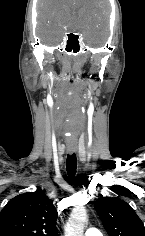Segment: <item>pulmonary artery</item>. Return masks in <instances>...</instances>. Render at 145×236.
I'll return each mask as SVG.
<instances>
[{"mask_svg":"<svg viewBox=\"0 0 145 236\" xmlns=\"http://www.w3.org/2000/svg\"><path fill=\"white\" fill-rule=\"evenodd\" d=\"M84 236H103L102 233L94 227H89L86 231Z\"/></svg>","mask_w":145,"mask_h":236,"instance_id":"e3ab8cb5","label":"pulmonary artery"}]
</instances>
